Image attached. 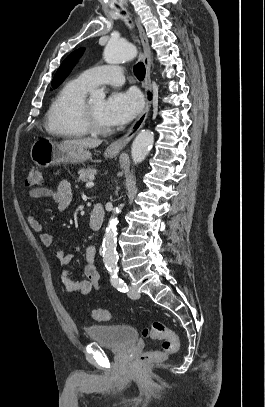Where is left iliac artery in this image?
I'll list each match as a JSON object with an SVG mask.
<instances>
[{
  "label": "left iliac artery",
  "mask_w": 265,
  "mask_h": 407,
  "mask_svg": "<svg viewBox=\"0 0 265 407\" xmlns=\"http://www.w3.org/2000/svg\"><path fill=\"white\" fill-rule=\"evenodd\" d=\"M111 284L120 292H128L127 284L117 276L111 278Z\"/></svg>",
  "instance_id": "obj_1"
}]
</instances>
